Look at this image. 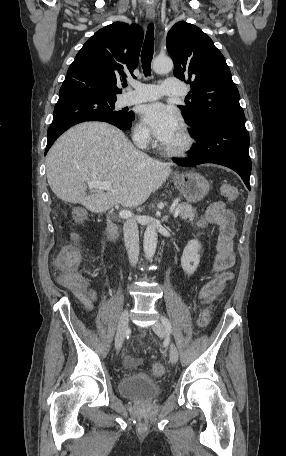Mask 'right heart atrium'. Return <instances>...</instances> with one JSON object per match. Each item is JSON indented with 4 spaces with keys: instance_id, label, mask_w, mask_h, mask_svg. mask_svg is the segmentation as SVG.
Masks as SVG:
<instances>
[{
    "instance_id": "right-heart-atrium-1",
    "label": "right heart atrium",
    "mask_w": 286,
    "mask_h": 456,
    "mask_svg": "<svg viewBox=\"0 0 286 456\" xmlns=\"http://www.w3.org/2000/svg\"><path fill=\"white\" fill-rule=\"evenodd\" d=\"M133 138L140 145H148L151 140L148 129L142 123L136 124L133 131Z\"/></svg>"
}]
</instances>
